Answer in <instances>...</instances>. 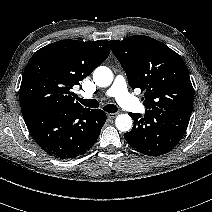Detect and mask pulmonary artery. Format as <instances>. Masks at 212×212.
<instances>
[{
    "label": "pulmonary artery",
    "instance_id": "obj_1",
    "mask_svg": "<svg viewBox=\"0 0 212 212\" xmlns=\"http://www.w3.org/2000/svg\"><path fill=\"white\" fill-rule=\"evenodd\" d=\"M109 97H115L118 103L125 109L132 112H143L144 106L132 96L126 86V81L123 76L118 75L112 86L105 93ZM84 98H92L93 95L89 93H83Z\"/></svg>",
    "mask_w": 212,
    "mask_h": 212
}]
</instances>
